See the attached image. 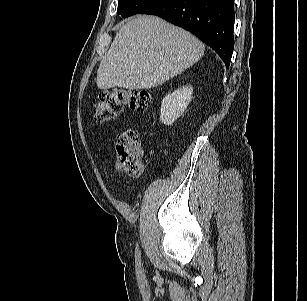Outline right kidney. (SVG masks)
<instances>
[{
    "instance_id": "1",
    "label": "right kidney",
    "mask_w": 307,
    "mask_h": 301,
    "mask_svg": "<svg viewBox=\"0 0 307 301\" xmlns=\"http://www.w3.org/2000/svg\"><path fill=\"white\" fill-rule=\"evenodd\" d=\"M193 88L183 86L166 95L161 103L160 120L165 125H172L180 117L192 98Z\"/></svg>"
}]
</instances>
